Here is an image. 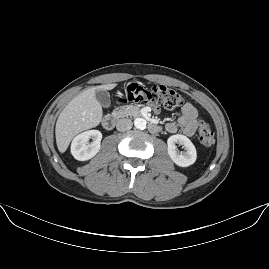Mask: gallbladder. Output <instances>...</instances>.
Instances as JSON below:
<instances>
[{
	"label": "gallbladder",
	"instance_id": "obj_1",
	"mask_svg": "<svg viewBox=\"0 0 269 269\" xmlns=\"http://www.w3.org/2000/svg\"><path fill=\"white\" fill-rule=\"evenodd\" d=\"M97 101L101 104L103 107H109L110 106V95L107 91H98L95 95Z\"/></svg>",
	"mask_w": 269,
	"mask_h": 269
}]
</instances>
